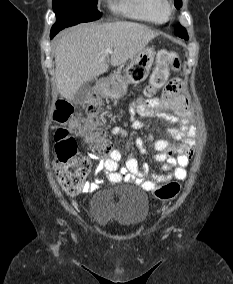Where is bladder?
Returning a JSON list of instances; mask_svg holds the SVG:
<instances>
[{
	"label": "bladder",
	"instance_id": "bladder-1",
	"mask_svg": "<svg viewBox=\"0 0 233 284\" xmlns=\"http://www.w3.org/2000/svg\"><path fill=\"white\" fill-rule=\"evenodd\" d=\"M149 213L147 194L133 186L99 191L88 203L90 219L103 227L117 224L129 230L137 229L146 222Z\"/></svg>",
	"mask_w": 233,
	"mask_h": 284
}]
</instances>
